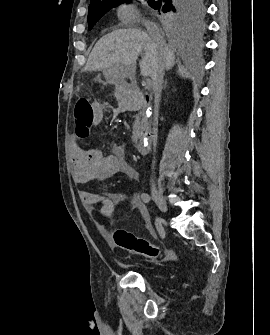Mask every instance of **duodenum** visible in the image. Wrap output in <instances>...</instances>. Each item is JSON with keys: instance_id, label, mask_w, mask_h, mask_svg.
I'll return each instance as SVG.
<instances>
[{"instance_id": "obj_1", "label": "duodenum", "mask_w": 270, "mask_h": 335, "mask_svg": "<svg viewBox=\"0 0 270 335\" xmlns=\"http://www.w3.org/2000/svg\"><path fill=\"white\" fill-rule=\"evenodd\" d=\"M120 104L125 111H137L144 107L145 96L142 91L129 83L120 84ZM139 153L147 154L150 149V138L147 136L140 137L136 142Z\"/></svg>"}]
</instances>
